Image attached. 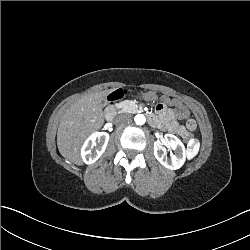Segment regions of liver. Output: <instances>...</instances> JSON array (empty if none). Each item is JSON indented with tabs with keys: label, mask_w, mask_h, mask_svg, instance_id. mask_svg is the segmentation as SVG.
Returning <instances> with one entry per match:
<instances>
[{
	"label": "liver",
	"mask_w": 250,
	"mask_h": 250,
	"mask_svg": "<svg viewBox=\"0 0 250 250\" xmlns=\"http://www.w3.org/2000/svg\"><path fill=\"white\" fill-rule=\"evenodd\" d=\"M112 91L114 89L83 95L65 112L57 131V146L65 159L76 165L83 164L79 149L90 133L102 127V102Z\"/></svg>",
	"instance_id": "liver-1"
}]
</instances>
